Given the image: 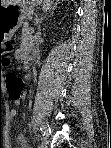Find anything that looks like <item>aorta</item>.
Segmentation results:
<instances>
[{
  "instance_id": "762f6f07",
  "label": "aorta",
  "mask_w": 111,
  "mask_h": 148,
  "mask_svg": "<svg viewBox=\"0 0 111 148\" xmlns=\"http://www.w3.org/2000/svg\"><path fill=\"white\" fill-rule=\"evenodd\" d=\"M49 2H50V0H46V3H45L44 6H43V9H44V10H49V9H50L51 4H50Z\"/></svg>"
}]
</instances>
